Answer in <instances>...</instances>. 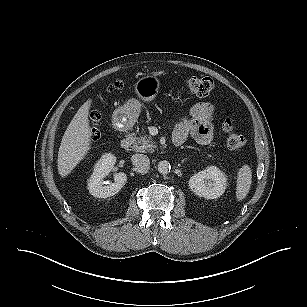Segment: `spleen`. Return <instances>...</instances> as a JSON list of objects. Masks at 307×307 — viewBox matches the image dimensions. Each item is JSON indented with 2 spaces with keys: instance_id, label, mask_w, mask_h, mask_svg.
Masks as SVG:
<instances>
[{
  "instance_id": "3e777b00",
  "label": "spleen",
  "mask_w": 307,
  "mask_h": 307,
  "mask_svg": "<svg viewBox=\"0 0 307 307\" xmlns=\"http://www.w3.org/2000/svg\"><path fill=\"white\" fill-rule=\"evenodd\" d=\"M252 183V171L249 165H243L237 175L236 198L242 201L249 193Z\"/></svg>"
}]
</instances>
